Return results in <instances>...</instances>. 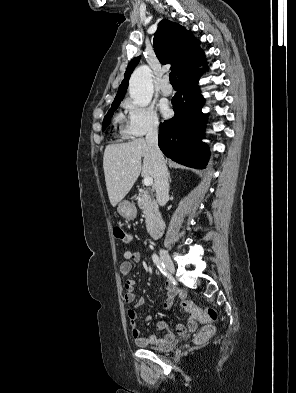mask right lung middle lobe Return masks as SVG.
Wrapping results in <instances>:
<instances>
[{"label": "right lung middle lobe", "instance_id": "1", "mask_svg": "<svg viewBox=\"0 0 296 393\" xmlns=\"http://www.w3.org/2000/svg\"><path fill=\"white\" fill-rule=\"evenodd\" d=\"M122 100H118V101H114L111 105V108L109 109L108 113L106 114V116L104 117L103 120V125H102V130H105V128L108 126L111 117L113 116L114 111L118 108L120 102Z\"/></svg>", "mask_w": 296, "mask_h": 393}]
</instances>
